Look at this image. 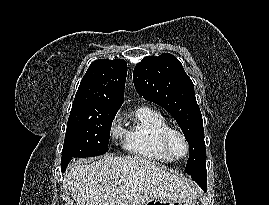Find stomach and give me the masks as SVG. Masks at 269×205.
I'll use <instances>...</instances> for the list:
<instances>
[{"label":"stomach","instance_id":"stomach-1","mask_svg":"<svg viewBox=\"0 0 269 205\" xmlns=\"http://www.w3.org/2000/svg\"><path fill=\"white\" fill-rule=\"evenodd\" d=\"M119 205H131V204L120 203ZM145 205H194V201L192 199H183V200L153 199L146 202Z\"/></svg>","mask_w":269,"mask_h":205}]
</instances>
